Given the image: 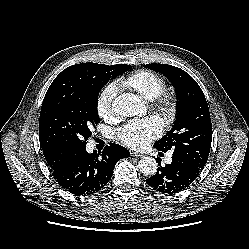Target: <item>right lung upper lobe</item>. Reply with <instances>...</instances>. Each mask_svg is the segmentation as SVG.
<instances>
[{
    "label": "right lung upper lobe",
    "mask_w": 249,
    "mask_h": 249,
    "mask_svg": "<svg viewBox=\"0 0 249 249\" xmlns=\"http://www.w3.org/2000/svg\"><path fill=\"white\" fill-rule=\"evenodd\" d=\"M72 68H76L89 76L96 77V63H82L70 66ZM44 157L48 162L51 169H56L61 166L65 161L70 159L74 153L67 152L61 149L42 147Z\"/></svg>",
    "instance_id": "1"
}]
</instances>
